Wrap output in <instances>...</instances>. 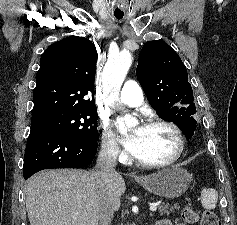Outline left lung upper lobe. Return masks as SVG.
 I'll return each mask as SVG.
<instances>
[{"label":"left lung upper lobe","mask_w":237,"mask_h":225,"mask_svg":"<svg viewBox=\"0 0 237 225\" xmlns=\"http://www.w3.org/2000/svg\"><path fill=\"white\" fill-rule=\"evenodd\" d=\"M136 74L159 117L174 122L185 135L194 134L196 107L187 69L179 55L163 40L146 42Z\"/></svg>","instance_id":"obj_1"}]
</instances>
